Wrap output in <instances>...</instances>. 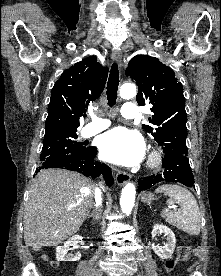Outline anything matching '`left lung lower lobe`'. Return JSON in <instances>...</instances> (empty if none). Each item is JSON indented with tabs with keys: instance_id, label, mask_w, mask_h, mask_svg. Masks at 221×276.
Instances as JSON below:
<instances>
[{
	"instance_id": "0a47b994",
	"label": "left lung lower lobe",
	"mask_w": 221,
	"mask_h": 276,
	"mask_svg": "<svg viewBox=\"0 0 221 276\" xmlns=\"http://www.w3.org/2000/svg\"><path fill=\"white\" fill-rule=\"evenodd\" d=\"M163 170L152 176L138 180V190H147L157 183L179 182L188 187L194 186V177L187 154L181 152H164Z\"/></svg>"
}]
</instances>
